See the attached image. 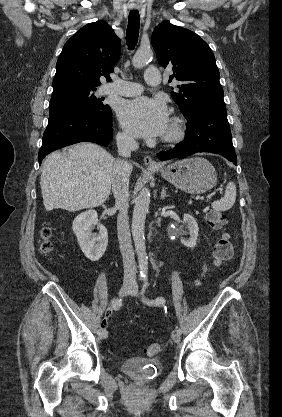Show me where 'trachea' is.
<instances>
[{"mask_svg":"<svg viewBox=\"0 0 282 417\" xmlns=\"http://www.w3.org/2000/svg\"><path fill=\"white\" fill-rule=\"evenodd\" d=\"M140 16L138 11H131L128 17L126 30V43L130 50H133L139 37Z\"/></svg>","mask_w":282,"mask_h":417,"instance_id":"trachea-1","label":"trachea"}]
</instances>
